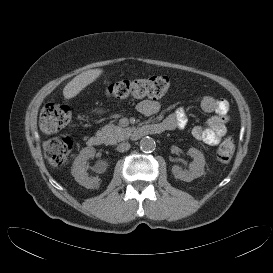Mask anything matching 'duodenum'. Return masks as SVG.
Segmentation results:
<instances>
[{"mask_svg": "<svg viewBox=\"0 0 273 273\" xmlns=\"http://www.w3.org/2000/svg\"><path fill=\"white\" fill-rule=\"evenodd\" d=\"M167 130V127L162 123L139 125L134 130L135 138H142L148 134H160ZM106 141L103 134L97 133L89 137L88 144L93 147L102 146Z\"/></svg>", "mask_w": 273, "mask_h": 273, "instance_id": "410a0bca", "label": "duodenum"}]
</instances>
